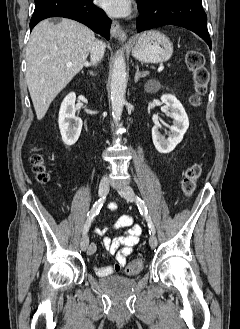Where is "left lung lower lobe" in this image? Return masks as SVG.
<instances>
[{"label": "left lung lower lobe", "mask_w": 240, "mask_h": 329, "mask_svg": "<svg viewBox=\"0 0 240 329\" xmlns=\"http://www.w3.org/2000/svg\"><path fill=\"white\" fill-rule=\"evenodd\" d=\"M141 13L137 20V31L175 25L198 34L210 47L211 39L207 30V16L202 0H137Z\"/></svg>", "instance_id": "1"}]
</instances>
